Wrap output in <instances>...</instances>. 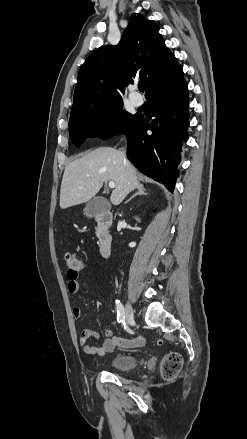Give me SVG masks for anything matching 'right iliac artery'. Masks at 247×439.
Segmentation results:
<instances>
[{
    "label": "right iliac artery",
    "instance_id": "1",
    "mask_svg": "<svg viewBox=\"0 0 247 439\" xmlns=\"http://www.w3.org/2000/svg\"><path fill=\"white\" fill-rule=\"evenodd\" d=\"M116 309H117V320L118 322H123L125 319V310L122 303L119 300H116Z\"/></svg>",
    "mask_w": 247,
    "mask_h": 439
}]
</instances>
